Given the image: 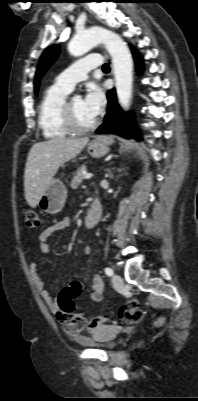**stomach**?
<instances>
[{"mask_svg": "<svg viewBox=\"0 0 198 401\" xmlns=\"http://www.w3.org/2000/svg\"><path fill=\"white\" fill-rule=\"evenodd\" d=\"M88 153L93 157H102L109 151V142L105 138H96L88 144ZM67 198V189L59 179H52L41 196L38 206L40 209L49 214L60 212Z\"/></svg>", "mask_w": 198, "mask_h": 401, "instance_id": "obj_1", "label": "stomach"}]
</instances>
